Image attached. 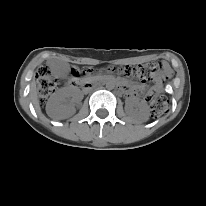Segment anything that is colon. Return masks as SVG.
Returning <instances> with one entry per match:
<instances>
[{"label":"colon","mask_w":206,"mask_h":206,"mask_svg":"<svg viewBox=\"0 0 206 206\" xmlns=\"http://www.w3.org/2000/svg\"><path fill=\"white\" fill-rule=\"evenodd\" d=\"M159 67L157 65H139L135 68L130 66H125L119 71L125 76H136L141 80H148L152 74L157 72ZM91 72L90 69L76 70L72 71L74 76H79L80 74L87 75ZM37 85H38V95L41 103H44L49 95L54 91L57 85V81L52 77L50 70L46 66L39 68L37 72ZM150 108L153 116L159 117L163 115L168 109V101L162 97H149Z\"/></svg>","instance_id":"colon-1"}]
</instances>
